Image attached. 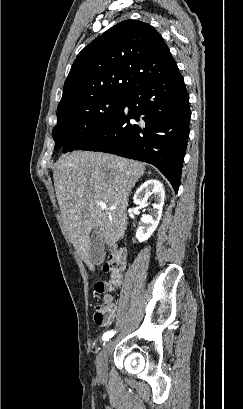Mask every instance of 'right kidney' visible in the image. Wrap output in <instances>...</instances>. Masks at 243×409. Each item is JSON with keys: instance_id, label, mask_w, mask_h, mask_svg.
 <instances>
[{"instance_id": "ca27d5eb", "label": "right kidney", "mask_w": 243, "mask_h": 409, "mask_svg": "<svg viewBox=\"0 0 243 409\" xmlns=\"http://www.w3.org/2000/svg\"><path fill=\"white\" fill-rule=\"evenodd\" d=\"M150 195H153V208L148 215L142 216L140 220V225L136 232V238L139 242L150 238L161 219L165 197V191L161 182L154 179L144 182L134 194V203L137 205L146 204L147 198Z\"/></svg>"}]
</instances>
